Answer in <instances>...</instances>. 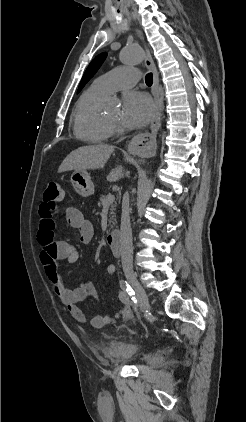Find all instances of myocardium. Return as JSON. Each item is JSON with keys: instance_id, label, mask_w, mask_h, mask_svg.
<instances>
[{"instance_id": "obj_1", "label": "myocardium", "mask_w": 246, "mask_h": 422, "mask_svg": "<svg viewBox=\"0 0 246 422\" xmlns=\"http://www.w3.org/2000/svg\"><path fill=\"white\" fill-rule=\"evenodd\" d=\"M107 120V122L109 123V124H112L113 123V121H110V120H108V119H106Z\"/></svg>"}]
</instances>
